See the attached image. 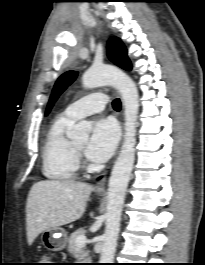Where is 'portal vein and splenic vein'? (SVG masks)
<instances>
[{"instance_id": "1", "label": "portal vein and splenic vein", "mask_w": 205, "mask_h": 265, "mask_svg": "<svg viewBox=\"0 0 205 265\" xmlns=\"http://www.w3.org/2000/svg\"><path fill=\"white\" fill-rule=\"evenodd\" d=\"M86 241H87L86 236H85V235H80V236H78V237L76 238V241H75V242H76V245H77L78 247H82V246L85 245Z\"/></svg>"}]
</instances>
